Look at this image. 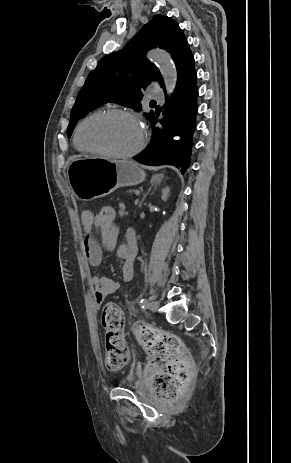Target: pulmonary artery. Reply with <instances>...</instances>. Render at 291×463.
<instances>
[{
    "label": "pulmonary artery",
    "mask_w": 291,
    "mask_h": 463,
    "mask_svg": "<svg viewBox=\"0 0 291 463\" xmlns=\"http://www.w3.org/2000/svg\"><path fill=\"white\" fill-rule=\"evenodd\" d=\"M152 89L149 91L150 97L155 99L162 98V91L158 89L155 85H151Z\"/></svg>",
    "instance_id": "e3ab8cb5"
}]
</instances>
